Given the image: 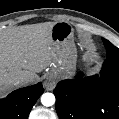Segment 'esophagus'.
<instances>
[{"mask_svg": "<svg viewBox=\"0 0 119 119\" xmlns=\"http://www.w3.org/2000/svg\"><path fill=\"white\" fill-rule=\"evenodd\" d=\"M44 86L47 90H53L56 86V83L53 78L49 77L44 83Z\"/></svg>", "mask_w": 119, "mask_h": 119, "instance_id": "34e87169", "label": "esophagus"}]
</instances>
